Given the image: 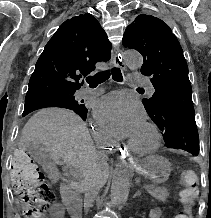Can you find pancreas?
Wrapping results in <instances>:
<instances>
[{
	"instance_id": "1",
	"label": "pancreas",
	"mask_w": 211,
	"mask_h": 218,
	"mask_svg": "<svg viewBox=\"0 0 211 218\" xmlns=\"http://www.w3.org/2000/svg\"><path fill=\"white\" fill-rule=\"evenodd\" d=\"M147 192L156 198V200H161V202H165L166 198L169 196V192L167 188H156V186H148ZM70 204L78 205L79 199H70Z\"/></svg>"
}]
</instances>
